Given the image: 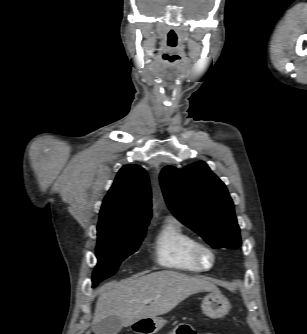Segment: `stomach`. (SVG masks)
<instances>
[{
  "instance_id": "0dacf381",
  "label": "stomach",
  "mask_w": 307,
  "mask_h": 334,
  "mask_svg": "<svg viewBox=\"0 0 307 334\" xmlns=\"http://www.w3.org/2000/svg\"><path fill=\"white\" fill-rule=\"evenodd\" d=\"M201 308L206 316L212 319H219L229 312L231 306L228 299L220 292H210L203 298ZM137 323V325H144L146 332H149L148 334H154L162 329L167 321L162 317H156L150 320L142 319Z\"/></svg>"
}]
</instances>
